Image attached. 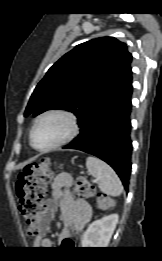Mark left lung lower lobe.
<instances>
[{"label": "left lung lower lobe", "mask_w": 162, "mask_h": 261, "mask_svg": "<svg viewBox=\"0 0 162 261\" xmlns=\"http://www.w3.org/2000/svg\"><path fill=\"white\" fill-rule=\"evenodd\" d=\"M132 78L102 103L80 127V134L64 148L81 150L108 163L128 189L131 171Z\"/></svg>", "instance_id": "left-lung-lower-lobe-1"}]
</instances>
